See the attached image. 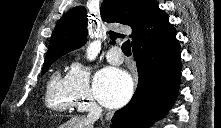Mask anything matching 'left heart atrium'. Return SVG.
Segmentation results:
<instances>
[{"label": "left heart atrium", "mask_w": 221, "mask_h": 128, "mask_svg": "<svg viewBox=\"0 0 221 128\" xmlns=\"http://www.w3.org/2000/svg\"><path fill=\"white\" fill-rule=\"evenodd\" d=\"M93 90L102 105L114 108L128 102L133 93V83L124 71L105 68L97 74Z\"/></svg>", "instance_id": "obj_1"}]
</instances>
